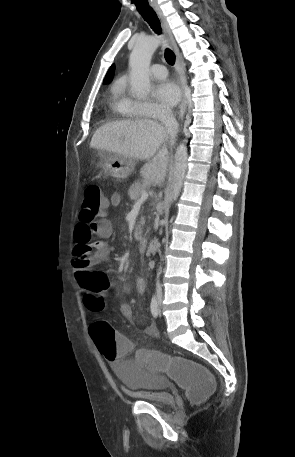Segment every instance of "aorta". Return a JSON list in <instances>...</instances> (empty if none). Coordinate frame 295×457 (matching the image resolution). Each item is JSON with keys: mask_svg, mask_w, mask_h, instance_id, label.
Here are the masks:
<instances>
[{"mask_svg": "<svg viewBox=\"0 0 295 457\" xmlns=\"http://www.w3.org/2000/svg\"><path fill=\"white\" fill-rule=\"evenodd\" d=\"M160 39L148 36L139 39L129 57L130 84L132 93L138 98H145L151 91L149 67L153 53L159 47ZM187 146L180 143L175 153V165L172 179V198L175 201L182 189L187 170Z\"/></svg>", "mask_w": 295, "mask_h": 457, "instance_id": "1", "label": "aorta"}]
</instances>
